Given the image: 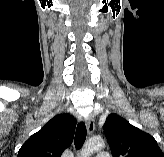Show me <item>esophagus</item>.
<instances>
[{
  "label": "esophagus",
  "instance_id": "esophagus-1",
  "mask_svg": "<svg viewBox=\"0 0 164 157\" xmlns=\"http://www.w3.org/2000/svg\"><path fill=\"white\" fill-rule=\"evenodd\" d=\"M86 125H87V131L91 135L95 129V121H94V118L92 116H90L87 119Z\"/></svg>",
  "mask_w": 164,
  "mask_h": 157
}]
</instances>
